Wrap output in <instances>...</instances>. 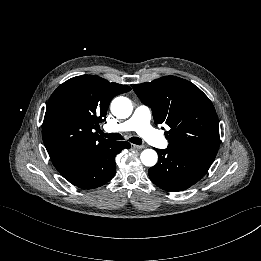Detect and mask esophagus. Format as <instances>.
<instances>
[{"label": "esophagus", "mask_w": 261, "mask_h": 261, "mask_svg": "<svg viewBox=\"0 0 261 261\" xmlns=\"http://www.w3.org/2000/svg\"><path fill=\"white\" fill-rule=\"evenodd\" d=\"M132 147L133 148H137V149H144L145 145H135V144H132Z\"/></svg>", "instance_id": "34e87169"}]
</instances>
